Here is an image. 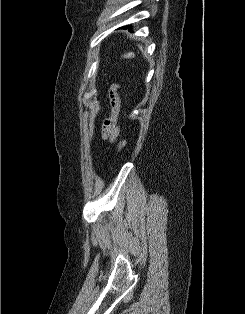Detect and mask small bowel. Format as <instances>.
<instances>
[{
  "instance_id": "small-bowel-1",
  "label": "small bowel",
  "mask_w": 245,
  "mask_h": 314,
  "mask_svg": "<svg viewBox=\"0 0 245 314\" xmlns=\"http://www.w3.org/2000/svg\"><path fill=\"white\" fill-rule=\"evenodd\" d=\"M109 97H110V102L113 107V110H112V115L107 117L104 120L103 127H102V137L104 139L113 140L119 134V126H118L117 118H116V115L118 112L119 98L116 93V87H114L110 91Z\"/></svg>"
}]
</instances>
